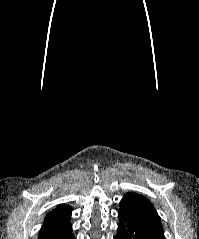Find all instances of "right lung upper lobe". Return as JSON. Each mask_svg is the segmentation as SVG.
Wrapping results in <instances>:
<instances>
[{"mask_svg":"<svg viewBox=\"0 0 199 239\" xmlns=\"http://www.w3.org/2000/svg\"><path fill=\"white\" fill-rule=\"evenodd\" d=\"M70 215L71 207L69 205L57 206L52 212L48 213L44 220V224L68 219Z\"/></svg>","mask_w":199,"mask_h":239,"instance_id":"1","label":"right lung upper lobe"}]
</instances>
